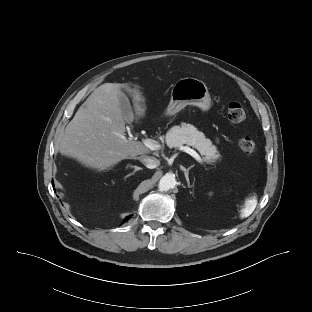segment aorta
Returning a JSON list of instances; mask_svg holds the SVG:
<instances>
[{
	"label": "aorta",
	"instance_id": "obj_1",
	"mask_svg": "<svg viewBox=\"0 0 312 312\" xmlns=\"http://www.w3.org/2000/svg\"><path fill=\"white\" fill-rule=\"evenodd\" d=\"M175 185H176L175 177L173 175L166 174L160 179L158 188L160 191L166 192L173 189Z\"/></svg>",
	"mask_w": 312,
	"mask_h": 312
}]
</instances>
